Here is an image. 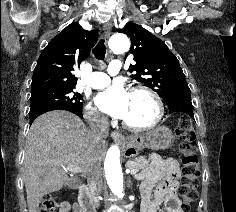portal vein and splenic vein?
<instances>
[{
	"instance_id": "1",
	"label": "portal vein and splenic vein",
	"mask_w": 236,
	"mask_h": 212,
	"mask_svg": "<svg viewBox=\"0 0 236 212\" xmlns=\"http://www.w3.org/2000/svg\"><path fill=\"white\" fill-rule=\"evenodd\" d=\"M64 170L72 172V173H82V169L78 166L75 165H67V166H63ZM138 172L137 169H130V173L132 175H135Z\"/></svg>"
}]
</instances>
